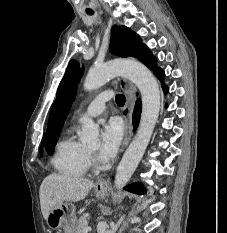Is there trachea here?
<instances>
[{
    "instance_id": "3493384b",
    "label": "trachea",
    "mask_w": 227,
    "mask_h": 233,
    "mask_svg": "<svg viewBox=\"0 0 227 233\" xmlns=\"http://www.w3.org/2000/svg\"><path fill=\"white\" fill-rule=\"evenodd\" d=\"M89 15H92L93 12L92 11H88L87 12ZM115 100H116V103L119 105V106H123L125 104V96L122 95V94H117L116 97H115Z\"/></svg>"
}]
</instances>
